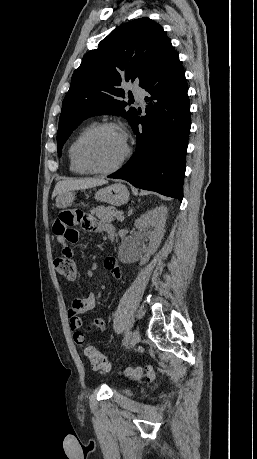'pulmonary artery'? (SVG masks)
<instances>
[{
	"label": "pulmonary artery",
	"instance_id": "pulmonary-artery-1",
	"mask_svg": "<svg viewBox=\"0 0 257 459\" xmlns=\"http://www.w3.org/2000/svg\"><path fill=\"white\" fill-rule=\"evenodd\" d=\"M133 93L135 95V98L139 102H142L144 100V98H145V95H146L145 91L143 89H140V88H135L133 90Z\"/></svg>",
	"mask_w": 257,
	"mask_h": 459
}]
</instances>
